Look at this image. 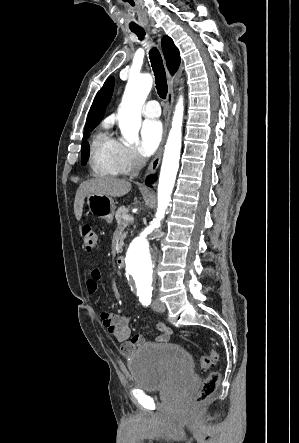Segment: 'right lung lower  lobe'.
I'll list each match as a JSON object with an SVG mask.
<instances>
[{"label": "right lung lower lobe", "instance_id": "right-lung-lower-lobe-1", "mask_svg": "<svg viewBox=\"0 0 299 443\" xmlns=\"http://www.w3.org/2000/svg\"><path fill=\"white\" fill-rule=\"evenodd\" d=\"M154 180H155V177H154V176H150V177L147 178V180H146V184H147L148 186H150V184H151Z\"/></svg>", "mask_w": 299, "mask_h": 443}]
</instances>
